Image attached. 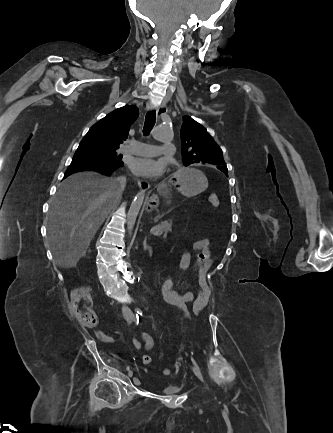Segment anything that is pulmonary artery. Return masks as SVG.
Instances as JSON below:
<instances>
[{
	"instance_id": "pulmonary-artery-1",
	"label": "pulmonary artery",
	"mask_w": 333,
	"mask_h": 433,
	"mask_svg": "<svg viewBox=\"0 0 333 433\" xmlns=\"http://www.w3.org/2000/svg\"><path fill=\"white\" fill-rule=\"evenodd\" d=\"M174 146L169 142H165L161 147L154 146L142 142H132L123 148V152L138 156H154L156 154L173 155Z\"/></svg>"
}]
</instances>
